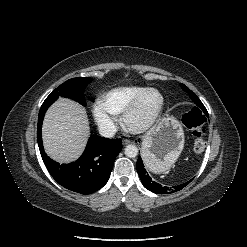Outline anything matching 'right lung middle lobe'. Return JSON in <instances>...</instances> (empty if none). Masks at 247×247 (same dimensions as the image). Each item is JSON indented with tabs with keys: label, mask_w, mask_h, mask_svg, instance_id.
Masks as SVG:
<instances>
[{
	"label": "right lung middle lobe",
	"mask_w": 247,
	"mask_h": 247,
	"mask_svg": "<svg viewBox=\"0 0 247 247\" xmlns=\"http://www.w3.org/2000/svg\"><path fill=\"white\" fill-rule=\"evenodd\" d=\"M92 81V78L78 77L69 79L61 84L57 89H54L47 99H57L60 97L71 98L81 105L86 106V100L84 98V90L86 85Z\"/></svg>",
	"instance_id": "1"
}]
</instances>
